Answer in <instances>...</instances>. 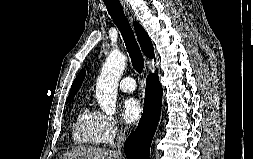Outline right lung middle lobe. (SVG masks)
I'll return each mask as SVG.
<instances>
[{
	"label": "right lung middle lobe",
	"instance_id": "dd1d6c3e",
	"mask_svg": "<svg viewBox=\"0 0 253 159\" xmlns=\"http://www.w3.org/2000/svg\"><path fill=\"white\" fill-rule=\"evenodd\" d=\"M71 100H66V104L69 103Z\"/></svg>",
	"mask_w": 253,
	"mask_h": 159
}]
</instances>
